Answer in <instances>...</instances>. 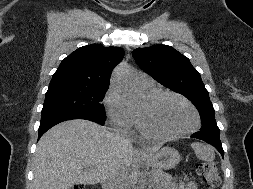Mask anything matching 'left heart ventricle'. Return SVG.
<instances>
[{"label": "left heart ventricle", "mask_w": 253, "mask_h": 189, "mask_svg": "<svg viewBox=\"0 0 253 189\" xmlns=\"http://www.w3.org/2000/svg\"><path fill=\"white\" fill-rule=\"evenodd\" d=\"M139 112L147 128L160 134L185 131L191 128L195 121L192 110L173 97H163L150 107L144 103Z\"/></svg>", "instance_id": "b2bd125f"}]
</instances>
